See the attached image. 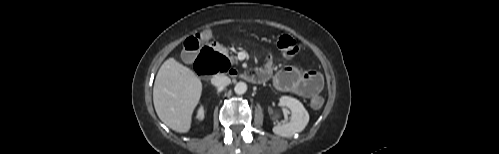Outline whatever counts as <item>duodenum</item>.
<instances>
[{"label": "duodenum", "instance_id": "410a0bca", "mask_svg": "<svg viewBox=\"0 0 499 154\" xmlns=\"http://www.w3.org/2000/svg\"><path fill=\"white\" fill-rule=\"evenodd\" d=\"M217 57H221V54L213 50L202 54L196 61L197 73L201 76H208L214 73L218 67V64L215 61V58ZM238 76L253 84H259L265 81L263 74L259 71H249L239 74Z\"/></svg>", "mask_w": 499, "mask_h": 154}]
</instances>
